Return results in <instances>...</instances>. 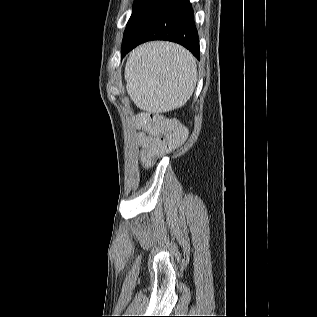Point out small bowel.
Returning a JSON list of instances; mask_svg holds the SVG:
<instances>
[{
  "mask_svg": "<svg viewBox=\"0 0 317 317\" xmlns=\"http://www.w3.org/2000/svg\"><path fill=\"white\" fill-rule=\"evenodd\" d=\"M153 140L154 139L152 137L146 136L144 134L138 135V141L144 149L150 148L153 143Z\"/></svg>",
  "mask_w": 317,
  "mask_h": 317,
  "instance_id": "small-bowel-1",
  "label": "small bowel"
}]
</instances>
